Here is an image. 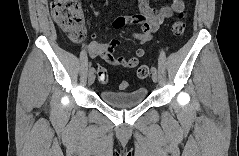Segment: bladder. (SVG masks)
I'll list each match as a JSON object with an SVG mask.
<instances>
[{"instance_id":"obj_1","label":"bladder","mask_w":239,"mask_h":156,"mask_svg":"<svg viewBox=\"0 0 239 156\" xmlns=\"http://www.w3.org/2000/svg\"><path fill=\"white\" fill-rule=\"evenodd\" d=\"M148 90L139 87L131 91L103 90L100 93L101 100L118 109H128L141 104L147 97Z\"/></svg>"}]
</instances>
